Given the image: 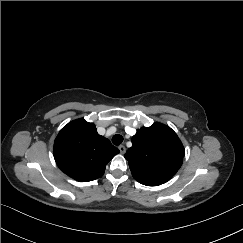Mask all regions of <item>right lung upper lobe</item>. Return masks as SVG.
<instances>
[{"instance_id": "right-lung-upper-lobe-1", "label": "right lung upper lobe", "mask_w": 243, "mask_h": 243, "mask_svg": "<svg viewBox=\"0 0 243 243\" xmlns=\"http://www.w3.org/2000/svg\"><path fill=\"white\" fill-rule=\"evenodd\" d=\"M54 158L69 177L88 182L104 174L107 163L119 153L97 133L93 123L77 119L62 128L54 142Z\"/></svg>"}]
</instances>
